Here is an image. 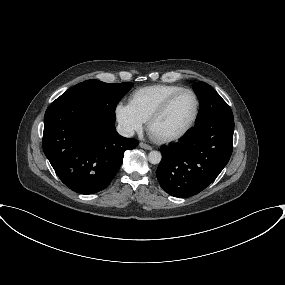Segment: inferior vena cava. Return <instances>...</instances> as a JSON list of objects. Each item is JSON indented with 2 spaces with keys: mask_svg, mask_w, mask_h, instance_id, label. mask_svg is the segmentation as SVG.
<instances>
[{
  "mask_svg": "<svg viewBox=\"0 0 285 285\" xmlns=\"http://www.w3.org/2000/svg\"><path fill=\"white\" fill-rule=\"evenodd\" d=\"M117 132L123 137H132L134 135V130L130 127L118 125Z\"/></svg>",
  "mask_w": 285,
  "mask_h": 285,
  "instance_id": "inferior-vena-cava-1",
  "label": "inferior vena cava"
}]
</instances>
